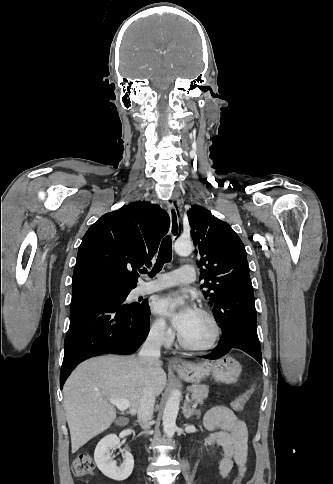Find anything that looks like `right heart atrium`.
Returning <instances> with one entry per match:
<instances>
[{"instance_id":"obj_1","label":"right heart atrium","mask_w":333,"mask_h":484,"mask_svg":"<svg viewBox=\"0 0 333 484\" xmlns=\"http://www.w3.org/2000/svg\"><path fill=\"white\" fill-rule=\"evenodd\" d=\"M150 335L155 341L168 344L172 338V331L164 319L156 318L151 324Z\"/></svg>"}]
</instances>
